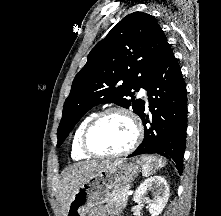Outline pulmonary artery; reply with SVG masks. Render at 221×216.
Segmentation results:
<instances>
[{
  "instance_id": "obj_1",
  "label": "pulmonary artery",
  "mask_w": 221,
  "mask_h": 216,
  "mask_svg": "<svg viewBox=\"0 0 221 216\" xmlns=\"http://www.w3.org/2000/svg\"><path fill=\"white\" fill-rule=\"evenodd\" d=\"M139 95L144 97V99L146 100V102L148 103V97H147V93L144 89H141L139 92Z\"/></svg>"
}]
</instances>
